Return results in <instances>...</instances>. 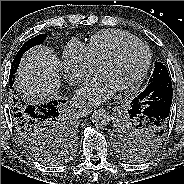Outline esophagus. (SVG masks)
Masks as SVG:
<instances>
[{
	"label": "esophagus",
	"mask_w": 184,
	"mask_h": 184,
	"mask_svg": "<svg viewBox=\"0 0 184 184\" xmlns=\"http://www.w3.org/2000/svg\"><path fill=\"white\" fill-rule=\"evenodd\" d=\"M93 108L89 107V106H81L79 108V111L81 113V115L86 116L89 115L92 112Z\"/></svg>",
	"instance_id": "1"
}]
</instances>
